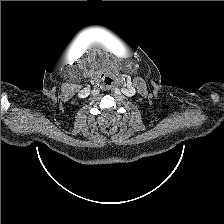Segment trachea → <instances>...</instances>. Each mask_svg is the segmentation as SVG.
Instances as JSON below:
<instances>
[{
	"mask_svg": "<svg viewBox=\"0 0 224 224\" xmlns=\"http://www.w3.org/2000/svg\"><path fill=\"white\" fill-rule=\"evenodd\" d=\"M107 81H113V80L107 77V78H105V82H107Z\"/></svg>",
	"mask_w": 224,
	"mask_h": 224,
	"instance_id": "trachea-1",
	"label": "trachea"
}]
</instances>
